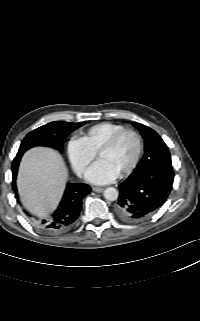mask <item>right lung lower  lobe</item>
<instances>
[{
    "instance_id": "98d812e1",
    "label": "right lung lower lobe",
    "mask_w": 200,
    "mask_h": 321,
    "mask_svg": "<svg viewBox=\"0 0 200 321\" xmlns=\"http://www.w3.org/2000/svg\"><path fill=\"white\" fill-rule=\"evenodd\" d=\"M22 155H16L12 163V187L17 195L16 176ZM91 188L87 184L69 183L56 211L47 218H36L28 214L44 231L61 232L69 228L78 218L82 209V199L89 194Z\"/></svg>"
}]
</instances>
